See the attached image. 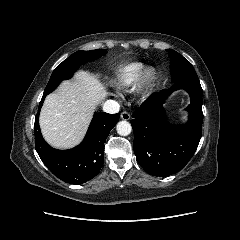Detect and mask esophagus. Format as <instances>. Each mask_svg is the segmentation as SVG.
<instances>
[{"label": "esophagus", "mask_w": 240, "mask_h": 240, "mask_svg": "<svg viewBox=\"0 0 240 240\" xmlns=\"http://www.w3.org/2000/svg\"><path fill=\"white\" fill-rule=\"evenodd\" d=\"M121 119H123V120H130L131 119L130 113H128L126 111L122 112L121 113Z\"/></svg>", "instance_id": "34e87169"}]
</instances>
